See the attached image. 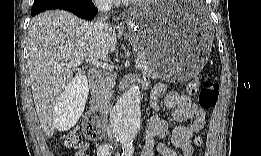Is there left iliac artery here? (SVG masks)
I'll return each instance as SVG.
<instances>
[{"mask_svg": "<svg viewBox=\"0 0 261 156\" xmlns=\"http://www.w3.org/2000/svg\"><path fill=\"white\" fill-rule=\"evenodd\" d=\"M120 144L122 146V156H132L134 147L133 140L131 138H121Z\"/></svg>", "mask_w": 261, "mask_h": 156, "instance_id": "1", "label": "left iliac artery"}]
</instances>
